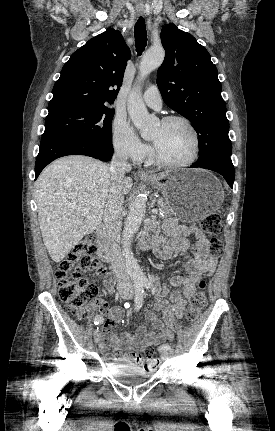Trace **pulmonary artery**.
<instances>
[{
	"label": "pulmonary artery",
	"mask_w": 275,
	"mask_h": 431,
	"mask_svg": "<svg viewBox=\"0 0 275 431\" xmlns=\"http://www.w3.org/2000/svg\"><path fill=\"white\" fill-rule=\"evenodd\" d=\"M144 102L153 109H160L162 106V99L157 86H150L143 94Z\"/></svg>",
	"instance_id": "1"
}]
</instances>
